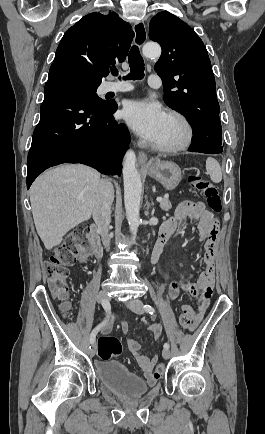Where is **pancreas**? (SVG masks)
<instances>
[{
    "label": "pancreas",
    "mask_w": 265,
    "mask_h": 434,
    "mask_svg": "<svg viewBox=\"0 0 265 434\" xmlns=\"http://www.w3.org/2000/svg\"><path fill=\"white\" fill-rule=\"evenodd\" d=\"M160 208L161 210H165V212H168V210H171V202L167 200V198H162V202H160Z\"/></svg>",
    "instance_id": "obj_1"
}]
</instances>
